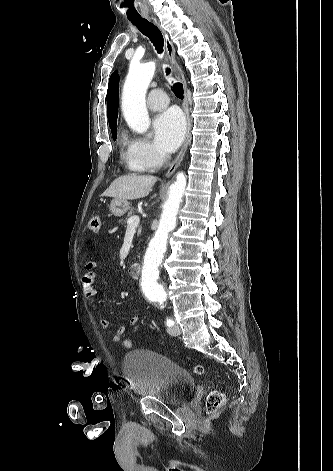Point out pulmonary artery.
Instances as JSON below:
<instances>
[{"instance_id":"obj_1","label":"pulmonary artery","mask_w":333,"mask_h":471,"mask_svg":"<svg viewBox=\"0 0 333 471\" xmlns=\"http://www.w3.org/2000/svg\"><path fill=\"white\" fill-rule=\"evenodd\" d=\"M169 104L166 93L161 89L152 90L147 97V106L153 111L164 109Z\"/></svg>"}]
</instances>
